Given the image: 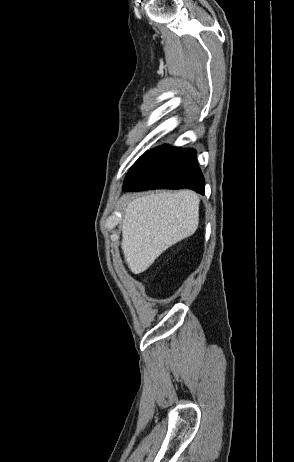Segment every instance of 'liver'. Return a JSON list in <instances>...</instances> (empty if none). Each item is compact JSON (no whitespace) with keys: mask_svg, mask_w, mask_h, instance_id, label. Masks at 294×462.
Wrapping results in <instances>:
<instances>
[{"mask_svg":"<svg viewBox=\"0 0 294 462\" xmlns=\"http://www.w3.org/2000/svg\"><path fill=\"white\" fill-rule=\"evenodd\" d=\"M199 202L190 190L149 194L127 202L121 248L133 274L144 272L166 249L195 233Z\"/></svg>","mask_w":294,"mask_h":462,"instance_id":"liver-1","label":"liver"}]
</instances>
